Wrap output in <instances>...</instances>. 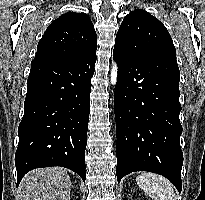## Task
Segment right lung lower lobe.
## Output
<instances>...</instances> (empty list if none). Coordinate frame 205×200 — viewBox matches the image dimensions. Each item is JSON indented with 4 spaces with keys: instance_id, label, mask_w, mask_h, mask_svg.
I'll return each instance as SVG.
<instances>
[{
    "instance_id": "1",
    "label": "right lung lower lobe",
    "mask_w": 205,
    "mask_h": 200,
    "mask_svg": "<svg viewBox=\"0 0 205 200\" xmlns=\"http://www.w3.org/2000/svg\"><path fill=\"white\" fill-rule=\"evenodd\" d=\"M96 52L70 61L33 60L15 154L17 185L35 168L62 166L86 179L85 149Z\"/></svg>"
}]
</instances>
